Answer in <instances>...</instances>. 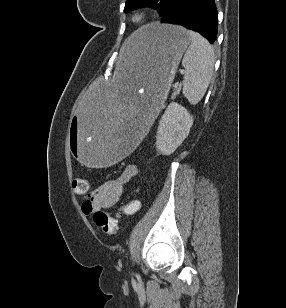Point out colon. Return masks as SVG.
Here are the masks:
<instances>
[{"mask_svg":"<svg viewBox=\"0 0 286 308\" xmlns=\"http://www.w3.org/2000/svg\"><path fill=\"white\" fill-rule=\"evenodd\" d=\"M73 190L76 193L84 194L88 191V183L84 179H74L72 184ZM140 207V203L137 200H132L125 206H123L117 215H130L135 213ZM94 221L96 225L106 234L115 235L118 232V224L115 218L104 211H97L94 214Z\"/></svg>","mask_w":286,"mask_h":308,"instance_id":"1","label":"colon"}]
</instances>
